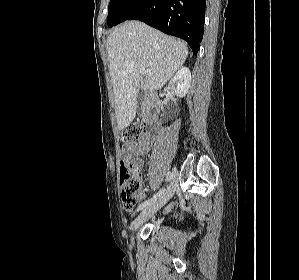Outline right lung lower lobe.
<instances>
[{"label":"right lung lower lobe","instance_id":"obj_1","mask_svg":"<svg viewBox=\"0 0 299 280\" xmlns=\"http://www.w3.org/2000/svg\"><path fill=\"white\" fill-rule=\"evenodd\" d=\"M206 0H135L122 14L125 20H140L162 32L184 39L194 55L204 32Z\"/></svg>","mask_w":299,"mask_h":280}]
</instances>
